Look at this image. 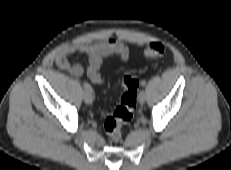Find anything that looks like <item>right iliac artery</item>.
<instances>
[{
    "instance_id": "82829eb1",
    "label": "right iliac artery",
    "mask_w": 231,
    "mask_h": 170,
    "mask_svg": "<svg viewBox=\"0 0 231 170\" xmlns=\"http://www.w3.org/2000/svg\"><path fill=\"white\" fill-rule=\"evenodd\" d=\"M83 86H84V88H85L86 91H90V92H92V94H93L92 87L90 86L89 83L84 82V83H83Z\"/></svg>"
}]
</instances>
